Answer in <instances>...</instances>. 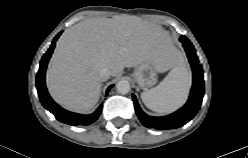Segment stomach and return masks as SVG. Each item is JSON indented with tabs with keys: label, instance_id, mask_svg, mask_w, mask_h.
I'll return each mask as SVG.
<instances>
[{
	"label": "stomach",
	"instance_id": "stomach-1",
	"mask_svg": "<svg viewBox=\"0 0 248 158\" xmlns=\"http://www.w3.org/2000/svg\"><path fill=\"white\" fill-rule=\"evenodd\" d=\"M175 64L171 56H167L160 64V68L164 71L170 69ZM159 69L151 62L141 63L133 72V77L140 88L148 90L157 83V73Z\"/></svg>",
	"mask_w": 248,
	"mask_h": 158
}]
</instances>
